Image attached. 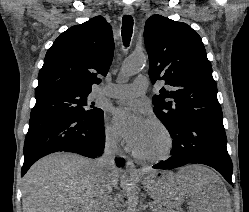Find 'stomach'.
<instances>
[{
	"label": "stomach",
	"instance_id": "1",
	"mask_svg": "<svg viewBox=\"0 0 249 212\" xmlns=\"http://www.w3.org/2000/svg\"><path fill=\"white\" fill-rule=\"evenodd\" d=\"M142 180L150 198H182L183 184H178L173 170H148ZM156 204H182V199H156Z\"/></svg>",
	"mask_w": 249,
	"mask_h": 212
}]
</instances>
